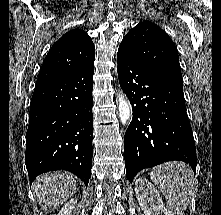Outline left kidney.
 I'll use <instances>...</instances> for the list:
<instances>
[{
  "mask_svg": "<svg viewBox=\"0 0 221 215\" xmlns=\"http://www.w3.org/2000/svg\"><path fill=\"white\" fill-rule=\"evenodd\" d=\"M135 193L145 215H170L158 190L146 178L136 179Z\"/></svg>",
  "mask_w": 221,
  "mask_h": 215,
  "instance_id": "5707ae66",
  "label": "left kidney"
}]
</instances>
